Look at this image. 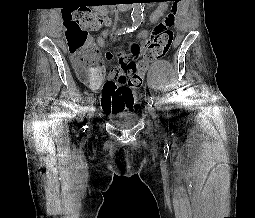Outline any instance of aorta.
Listing matches in <instances>:
<instances>
[{
	"instance_id": "aorta-1",
	"label": "aorta",
	"mask_w": 255,
	"mask_h": 218,
	"mask_svg": "<svg viewBox=\"0 0 255 218\" xmlns=\"http://www.w3.org/2000/svg\"><path fill=\"white\" fill-rule=\"evenodd\" d=\"M132 13H131V18H132V29H136L140 26L142 20H143V3H133L132 4Z\"/></svg>"
}]
</instances>
